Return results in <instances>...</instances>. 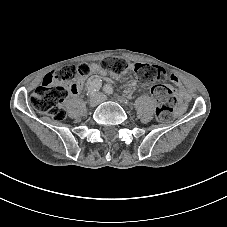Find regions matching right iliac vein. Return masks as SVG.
<instances>
[{
	"mask_svg": "<svg viewBox=\"0 0 227 227\" xmlns=\"http://www.w3.org/2000/svg\"><path fill=\"white\" fill-rule=\"evenodd\" d=\"M100 103H101V100H100V98H99L96 94H94V95L89 99V106H90L91 108L96 107V106L99 105Z\"/></svg>",
	"mask_w": 227,
	"mask_h": 227,
	"instance_id": "obj_1",
	"label": "right iliac vein"
}]
</instances>
